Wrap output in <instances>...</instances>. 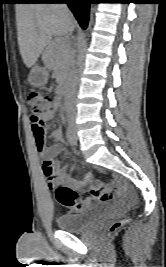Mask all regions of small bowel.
I'll list each match as a JSON object with an SVG mask.
<instances>
[{
    "instance_id": "1",
    "label": "small bowel",
    "mask_w": 166,
    "mask_h": 267,
    "mask_svg": "<svg viewBox=\"0 0 166 267\" xmlns=\"http://www.w3.org/2000/svg\"><path fill=\"white\" fill-rule=\"evenodd\" d=\"M58 108H59L58 103H55L54 108L49 110L45 114H43L41 116L39 122H36L31 118V128H32V132L34 135L35 144H36L37 150L40 153V155L42 157L46 158V160L51 161L53 166H54L55 172L52 176H49L44 172L48 178V185L50 188H53L55 186L56 180H61L64 183H66L68 186H70L74 189H82L83 185L76 183L75 179L67 173V168H68L67 165H65L61 168H57L55 166L54 158L59 154L60 146L59 145H53L52 147L47 148L45 146V141H44L43 145H40L38 142L39 128H41L43 130L45 124L48 121H50L51 119H53ZM52 137L57 142H62L64 139L63 130L61 128L56 129L52 133ZM112 189L114 190V193L113 192H91V194H90L91 197H88L84 200L85 206H89L94 198H100L101 201H112L113 196L116 193L121 192V191H126L127 188H126L125 183L121 179L117 178V179L113 180V182L111 183V186L108 188V190H112ZM94 191H101V186H94ZM134 197H135L134 194L129 193L130 199H134ZM67 208H69L70 210L72 209V207H67Z\"/></svg>"
}]
</instances>
